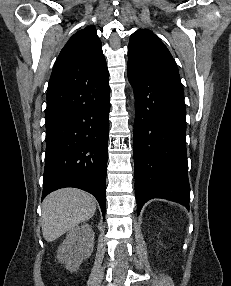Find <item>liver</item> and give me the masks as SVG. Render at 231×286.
Returning a JSON list of instances; mask_svg holds the SVG:
<instances>
[{"mask_svg":"<svg viewBox=\"0 0 231 286\" xmlns=\"http://www.w3.org/2000/svg\"><path fill=\"white\" fill-rule=\"evenodd\" d=\"M96 211V200L76 188H64L50 193L42 203V233L52 242L90 219Z\"/></svg>","mask_w":231,"mask_h":286,"instance_id":"6515ba94","label":"liver"}]
</instances>
